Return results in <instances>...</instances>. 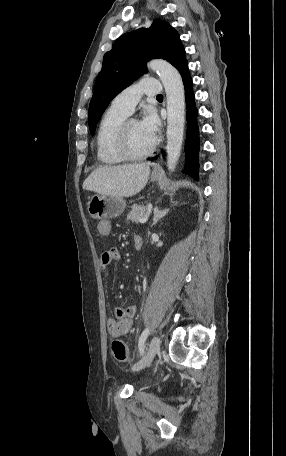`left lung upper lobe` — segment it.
Wrapping results in <instances>:
<instances>
[{
	"instance_id": "5c2ea615",
	"label": "left lung upper lobe",
	"mask_w": 286,
	"mask_h": 456,
	"mask_svg": "<svg viewBox=\"0 0 286 456\" xmlns=\"http://www.w3.org/2000/svg\"><path fill=\"white\" fill-rule=\"evenodd\" d=\"M179 34L160 19L150 28H141L120 36L103 58L94 94L89 105L88 123L91 134L110 101L146 70V62L162 58L177 69L186 62Z\"/></svg>"
}]
</instances>
